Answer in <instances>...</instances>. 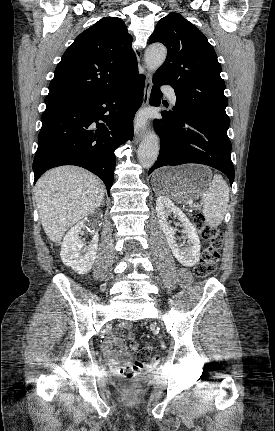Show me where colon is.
<instances>
[{
    "label": "colon",
    "instance_id": "colon-1",
    "mask_svg": "<svg viewBox=\"0 0 275 431\" xmlns=\"http://www.w3.org/2000/svg\"><path fill=\"white\" fill-rule=\"evenodd\" d=\"M194 224L201 237L208 242V245L204 248L199 261L194 267V274L199 278H205L211 275L216 269L219 251L223 243L222 232L217 226L210 225L202 213L195 215ZM129 338L132 340L131 349L137 352V356L133 363L122 368L121 374L124 377L132 378L143 368L146 362L151 361V363L155 364L159 362L160 358L159 356L151 357L150 344L140 349L138 343L134 341L135 334L133 332L129 333ZM138 389L139 385L137 383H131L127 391L129 393H135Z\"/></svg>",
    "mask_w": 275,
    "mask_h": 431
}]
</instances>
